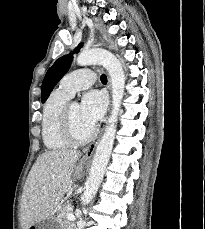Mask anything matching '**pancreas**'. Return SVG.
Segmentation results:
<instances>
[{
  "label": "pancreas",
  "mask_w": 205,
  "mask_h": 229,
  "mask_svg": "<svg viewBox=\"0 0 205 229\" xmlns=\"http://www.w3.org/2000/svg\"><path fill=\"white\" fill-rule=\"evenodd\" d=\"M72 211V207H71V204H64L62 206V208L58 211L57 213V221L58 223L61 225V228L62 229H74V223L69 221L67 218H66V215L68 213H71Z\"/></svg>",
  "instance_id": "1"
}]
</instances>
